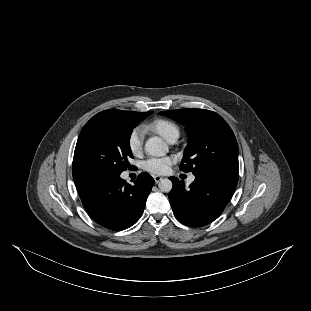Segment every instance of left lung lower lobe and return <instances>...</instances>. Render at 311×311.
Wrapping results in <instances>:
<instances>
[{
    "label": "left lung lower lobe",
    "instance_id": "1",
    "mask_svg": "<svg viewBox=\"0 0 311 311\" xmlns=\"http://www.w3.org/2000/svg\"><path fill=\"white\" fill-rule=\"evenodd\" d=\"M170 179L173 188L169 201L174 215L187 226L202 227L218 218L230 201L238 171L219 169L197 174L188 189L176 177Z\"/></svg>",
    "mask_w": 311,
    "mask_h": 311
}]
</instances>
